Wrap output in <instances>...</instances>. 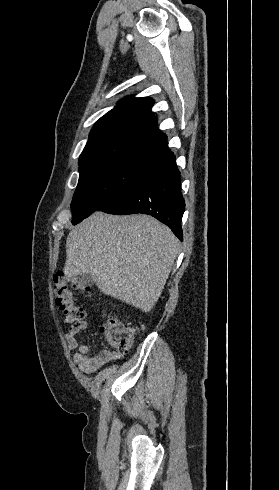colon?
Wrapping results in <instances>:
<instances>
[{"instance_id":"colon-1","label":"colon","mask_w":279,"mask_h":490,"mask_svg":"<svg viewBox=\"0 0 279 490\" xmlns=\"http://www.w3.org/2000/svg\"><path fill=\"white\" fill-rule=\"evenodd\" d=\"M72 284L76 290L89 291L86 284L78 279L73 280L67 275H56L52 282L54 299L62 309V321L65 324L81 321L86 314L85 310L76 304ZM103 336L108 338L109 344L115 352L121 354L127 352L133 345L136 330L132 327H125L110 317L108 329H104Z\"/></svg>"}]
</instances>
